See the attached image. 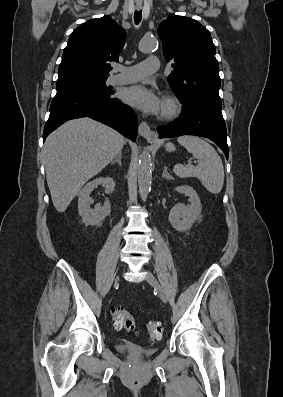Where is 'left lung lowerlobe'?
Returning <instances> with one entry per match:
<instances>
[{
	"instance_id": "1",
	"label": "left lung lower lobe",
	"mask_w": 283,
	"mask_h": 397,
	"mask_svg": "<svg viewBox=\"0 0 283 397\" xmlns=\"http://www.w3.org/2000/svg\"><path fill=\"white\" fill-rule=\"evenodd\" d=\"M221 109V106L203 101L183 104L181 116L168 125L157 127V131L162 138L182 135L209 138L223 150L228 159L227 130Z\"/></svg>"
}]
</instances>
